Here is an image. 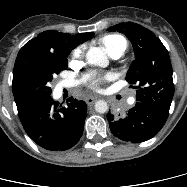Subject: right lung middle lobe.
Instances as JSON below:
<instances>
[{"instance_id":"right-lung-middle-lobe-1","label":"right lung middle lobe","mask_w":187,"mask_h":187,"mask_svg":"<svg viewBox=\"0 0 187 187\" xmlns=\"http://www.w3.org/2000/svg\"><path fill=\"white\" fill-rule=\"evenodd\" d=\"M68 67L67 55L23 52L17 55L12 90L16 104H25L51 94L53 76Z\"/></svg>"}]
</instances>
